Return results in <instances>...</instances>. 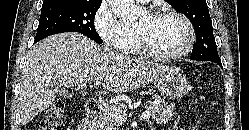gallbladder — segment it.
Segmentation results:
<instances>
[{
    "mask_svg": "<svg viewBox=\"0 0 249 130\" xmlns=\"http://www.w3.org/2000/svg\"><path fill=\"white\" fill-rule=\"evenodd\" d=\"M58 94L63 96V97H70L71 96V93L68 90L63 89V88H60L58 90Z\"/></svg>",
    "mask_w": 249,
    "mask_h": 130,
    "instance_id": "obj_1",
    "label": "gallbladder"
}]
</instances>
